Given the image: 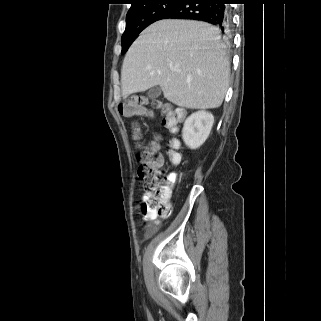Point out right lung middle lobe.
<instances>
[{"label":"right lung middle lobe","instance_id":"right-lung-middle-lobe-1","mask_svg":"<svg viewBox=\"0 0 321 321\" xmlns=\"http://www.w3.org/2000/svg\"><path fill=\"white\" fill-rule=\"evenodd\" d=\"M180 0H152L131 7L126 17V29L122 35V54H124L139 33L160 19V16L176 6Z\"/></svg>","mask_w":321,"mask_h":321}]
</instances>
